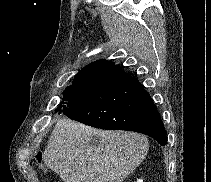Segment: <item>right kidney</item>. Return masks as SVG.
Returning <instances> with one entry per match:
<instances>
[{"label":"right kidney","mask_w":211,"mask_h":182,"mask_svg":"<svg viewBox=\"0 0 211 182\" xmlns=\"http://www.w3.org/2000/svg\"><path fill=\"white\" fill-rule=\"evenodd\" d=\"M136 182H143V180L142 179H138Z\"/></svg>","instance_id":"obj_1"}]
</instances>
